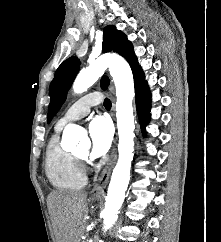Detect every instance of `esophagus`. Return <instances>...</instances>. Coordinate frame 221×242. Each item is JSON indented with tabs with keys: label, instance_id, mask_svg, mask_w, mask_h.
I'll return each instance as SVG.
<instances>
[{
	"label": "esophagus",
	"instance_id": "34e87169",
	"mask_svg": "<svg viewBox=\"0 0 221 242\" xmlns=\"http://www.w3.org/2000/svg\"><path fill=\"white\" fill-rule=\"evenodd\" d=\"M114 103L112 105V109L114 111ZM113 115V113H112ZM117 160V151H116V140L114 141V145L111 151V155L109 160L107 161L104 169L102 170V173L100 175V177L98 178L96 184L94 185L92 191H91V195L93 197L99 198L104 194V189L106 187V185L108 184L112 169L116 163Z\"/></svg>",
	"mask_w": 221,
	"mask_h": 242
}]
</instances>
